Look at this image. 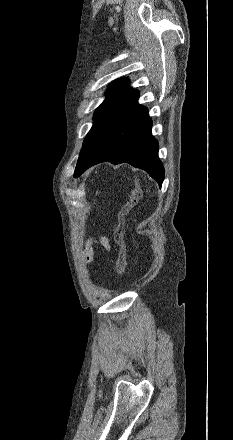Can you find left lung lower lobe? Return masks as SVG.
I'll return each mask as SVG.
<instances>
[{"label":"left lung lower lobe","mask_w":233,"mask_h":440,"mask_svg":"<svg viewBox=\"0 0 233 440\" xmlns=\"http://www.w3.org/2000/svg\"><path fill=\"white\" fill-rule=\"evenodd\" d=\"M138 97L108 125L84 161L76 167L74 177L95 164L109 161L141 168L162 185L164 168L158 158V142L151 134L148 110L138 104Z\"/></svg>","instance_id":"obj_1"}]
</instances>
